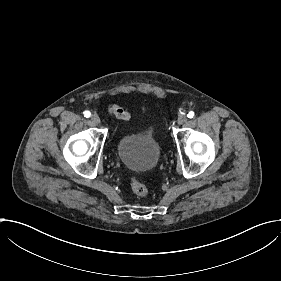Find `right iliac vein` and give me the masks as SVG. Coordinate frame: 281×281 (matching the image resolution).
Masks as SVG:
<instances>
[{"label": "right iliac vein", "instance_id": "63e3f726", "mask_svg": "<svg viewBox=\"0 0 281 281\" xmlns=\"http://www.w3.org/2000/svg\"><path fill=\"white\" fill-rule=\"evenodd\" d=\"M91 123H92L93 125H98V124L100 123V118H99L98 116H93V117L91 118Z\"/></svg>", "mask_w": 281, "mask_h": 281}]
</instances>
